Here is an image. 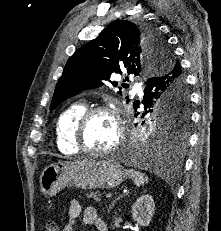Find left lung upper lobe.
I'll use <instances>...</instances> for the list:
<instances>
[{
    "label": "left lung upper lobe",
    "mask_w": 221,
    "mask_h": 231,
    "mask_svg": "<svg viewBox=\"0 0 221 231\" xmlns=\"http://www.w3.org/2000/svg\"><path fill=\"white\" fill-rule=\"evenodd\" d=\"M171 58L172 52L168 49L165 38L154 26L116 21L68 59L57 82L50 108L55 109L62 101L83 89L103 85L102 80L108 81L113 72L122 74V71L127 70L128 74L135 75L150 71L164 73L175 65ZM177 64L179 67V62ZM156 66L157 69H152ZM125 81L129 79L126 77ZM113 85L116 86L117 83L114 82ZM122 86L127 88L129 85ZM172 91L170 95H159L142 103V117L149 115L155 123L149 138L155 135L160 138L167 136L171 141L186 138L185 128L189 121L188 94L186 89L181 88ZM118 93L121 94V91ZM174 99L182 100V104H171ZM139 104L138 101L134 102L135 111Z\"/></svg>",
    "instance_id": "left-lung-upper-lobe-1"
}]
</instances>
